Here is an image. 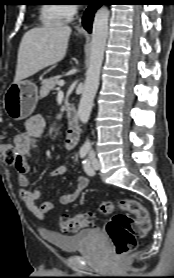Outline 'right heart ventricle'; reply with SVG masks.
Instances as JSON below:
<instances>
[{"label":"right heart ventricle","mask_w":174,"mask_h":278,"mask_svg":"<svg viewBox=\"0 0 174 278\" xmlns=\"http://www.w3.org/2000/svg\"><path fill=\"white\" fill-rule=\"evenodd\" d=\"M40 18L42 23L47 26L57 25L70 19L66 13L65 5L54 3L42 6Z\"/></svg>","instance_id":"1"}]
</instances>
